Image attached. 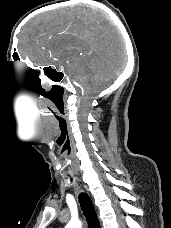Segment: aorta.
Here are the masks:
<instances>
[{"instance_id":"aorta-1","label":"aorta","mask_w":171,"mask_h":228,"mask_svg":"<svg viewBox=\"0 0 171 228\" xmlns=\"http://www.w3.org/2000/svg\"><path fill=\"white\" fill-rule=\"evenodd\" d=\"M65 228H81V222L78 219H72Z\"/></svg>"}]
</instances>
